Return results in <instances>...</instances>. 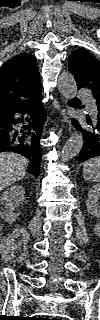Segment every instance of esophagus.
<instances>
[{
    "instance_id": "34e87169",
    "label": "esophagus",
    "mask_w": 100,
    "mask_h": 320,
    "mask_svg": "<svg viewBox=\"0 0 100 320\" xmlns=\"http://www.w3.org/2000/svg\"><path fill=\"white\" fill-rule=\"evenodd\" d=\"M62 117H63V121L64 122H68L69 124H71V121L68 119V117L66 116V113H65V109H61L60 111ZM71 131V127L69 129Z\"/></svg>"
}]
</instances>
